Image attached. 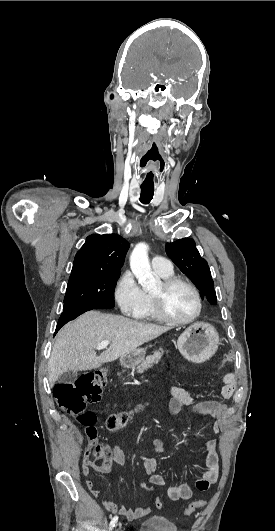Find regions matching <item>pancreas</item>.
Segmentation results:
<instances>
[{
  "mask_svg": "<svg viewBox=\"0 0 275 531\" xmlns=\"http://www.w3.org/2000/svg\"><path fill=\"white\" fill-rule=\"evenodd\" d=\"M163 349H158V351H153V355H148L146 359H143L142 363H137V365H124L126 369H134L136 373H144V371H148V369H151L153 365H158L159 361H161L163 357ZM118 377H121V373H117Z\"/></svg>",
  "mask_w": 275,
  "mask_h": 531,
  "instance_id": "pancreas-1",
  "label": "pancreas"
}]
</instances>
